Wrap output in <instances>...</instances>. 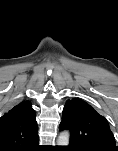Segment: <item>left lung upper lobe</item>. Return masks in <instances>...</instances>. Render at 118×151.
I'll return each instance as SVG.
<instances>
[{"label": "left lung upper lobe", "mask_w": 118, "mask_h": 151, "mask_svg": "<svg viewBox=\"0 0 118 151\" xmlns=\"http://www.w3.org/2000/svg\"><path fill=\"white\" fill-rule=\"evenodd\" d=\"M59 129L70 131V144L78 151H118L108 121L81 99L66 101Z\"/></svg>", "instance_id": "5c2ea615"}]
</instances>
